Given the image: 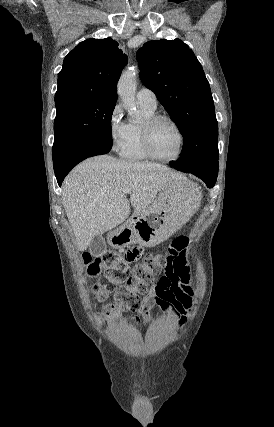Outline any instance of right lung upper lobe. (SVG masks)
Masks as SVG:
<instances>
[{"mask_svg":"<svg viewBox=\"0 0 274 427\" xmlns=\"http://www.w3.org/2000/svg\"><path fill=\"white\" fill-rule=\"evenodd\" d=\"M127 61L112 38L81 42L64 59L55 105L89 97H117V81Z\"/></svg>","mask_w":274,"mask_h":427,"instance_id":"right-lung-upper-lobe-1","label":"right lung upper lobe"}]
</instances>
